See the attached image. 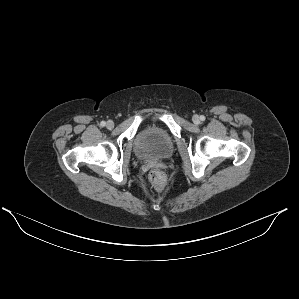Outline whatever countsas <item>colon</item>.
<instances>
[{
    "label": "colon",
    "mask_w": 299,
    "mask_h": 299,
    "mask_svg": "<svg viewBox=\"0 0 299 299\" xmlns=\"http://www.w3.org/2000/svg\"><path fill=\"white\" fill-rule=\"evenodd\" d=\"M149 181L156 190H162L166 185V177L159 170H152L149 173Z\"/></svg>",
    "instance_id": "obj_1"
}]
</instances>
